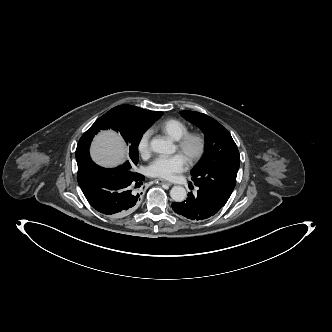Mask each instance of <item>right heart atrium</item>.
I'll return each instance as SVG.
<instances>
[{"instance_id":"1","label":"right heart atrium","mask_w":332,"mask_h":332,"mask_svg":"<svg viewBox=\"0 0 332 332\" xmlns=\"http://www.w3.org/2000/svg\"><path fill=\"white\" fill-rule=\"evenodd\" d=\"M151 130H146L138 141V152L142 157H147L150 154L151 147H150V137H151Z\"/></svg>"}]
</instances>
